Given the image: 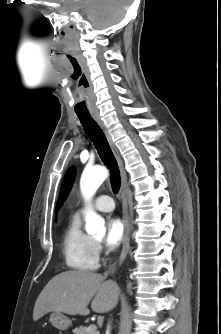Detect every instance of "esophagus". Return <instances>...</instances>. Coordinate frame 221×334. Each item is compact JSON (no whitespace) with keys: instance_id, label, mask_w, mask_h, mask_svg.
<instances>
[{"instance_id":"esophagus-1","label":"esophagus","mask_w":221,"mask_h":334,"mask_svg":"<svg viewBox=\"0 0 221 334\" xmlns=\"http://www.w3.org/2000/svg\"><path fill=\"white\" fill-rule=\"evenodd\" d=\"M93 119L97 122V124L100 126L102 131L104 132V135L109 143V146L117 160L119 170H120V175H121V189H120V194H121V199H122V222L124 225V237H123V246H122V251L119 257V265L123 263L125 260L128 250H129V243H130V237H129V217H128V203H127V174L124 169V163L123 160L120 156V153L111 137V134L107 127L105 126L104 122L102 121L101 117L99 115L93 114L92 115Z\"/></svg>"}]
</instances>
